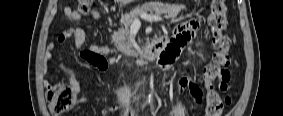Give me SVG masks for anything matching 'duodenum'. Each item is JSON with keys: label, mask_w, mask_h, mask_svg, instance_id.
<instances>
[{"label": "duodenum", "mask_w": 283, "mask_h": 116, "mask_svg": "<svg viewBox=\"0 0 283 116\" xmlns=\"http://www.w3.org/2000/svg\"><path fill=\"white\" fill-rule=\"evenodd\" d=\"M163 41L162 40H156L152 44L148 45L144 52L141 53L139 56L142 60H148L151 61L155 58L161 59L162 53H163ZM174 58H166L164 63L165 64H171L173 62Z\"/></svg>", "instance_id": "obj_1"}]
</instances>
